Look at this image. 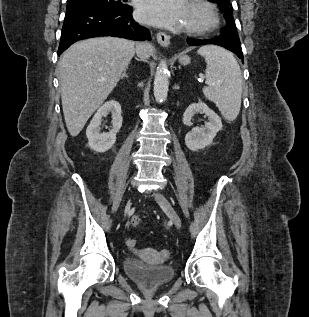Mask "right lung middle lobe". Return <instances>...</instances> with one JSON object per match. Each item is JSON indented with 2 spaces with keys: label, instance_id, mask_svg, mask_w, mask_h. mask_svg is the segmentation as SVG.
Returning a JSON list of instances; mask_svg holds the SVG:
<instances>
[{
  "label": "right lung middle lobe",
  "instance_id": "right-lung-middle-lobe-1",
  "mask_svg": "<svg viewBox=\"0 0 309 317\" xmlns=\"http://www.w3.org/2000/svg\"><path fill=\"white\" fill-rule=\"evenodd\" d=\"M68 2L88 3L115 9H121L126 6L121 0H68Z\"/></svg>",
  "mask_w": 309,
  "mask_h": 317
}]
</instances>
